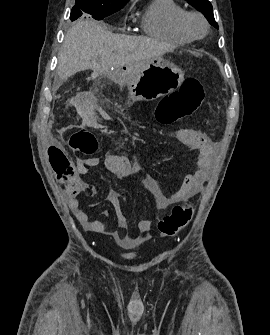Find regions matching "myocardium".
Returning a JSON list of instances; mask_svg holds the SVG:
<instances>
[{
  "label": "myocardium",
  "instance_id": "1",
  "mask_svg": "<svg viewBox=\"0 0 270 335\" xmlns=\"http://www.w3.org/2000/svg\"><path fill=\"white\" fill-rule=\"evenodd\" d=\"M191 17H196V18H198L202 21V23L204 25V33L201 36L194 35L192 33V31L190 30L189 25H188V21ZM179 25H180L181 30L188 37H190L191 39H195V40L203 39L204 37L207 36V34L209 32V24H208L207 20L205 19V17L202 14H200L199 12H195V11L184 12L182 14V16L180 17Z\"/></svg>",
  "mask_w": 270,
  "mask_h": 335
}]
</instances>
